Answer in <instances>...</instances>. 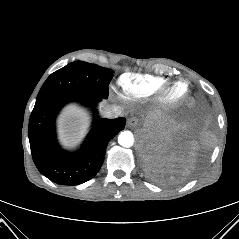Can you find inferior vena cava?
<instances>
[{"instance_id": "obj_1", "label": "inferior vena cava", "mask_w": 239, "mask_h": 239, "mask_svg": "<svg viewBox=\"0 0 239 239\" xmlns=\"http://www.w3.org/2000/svg\"><path fill=\"white\" fill-rule=\"evenodd\" d=\"M102 114L105 118L113 119L122 115V108L118 105H106L102 109Z\"/></svg>"}]
</instances>
